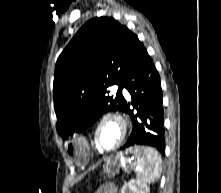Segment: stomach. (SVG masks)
<instances>
[{"label": "stomach", "instance_id": "0dacf381", "mask_svg": "<svg viewBox=\"0 0 221 193\" xmlns=\"http://www.w3.org/2000/svg\"><path fill=\"white\" fill-rule=\"evenodd\" d=\"M65 138H74V133H65ZM75 142H69V147L65 150V155H70V159H76L75 163L78 167H89L88 162L89 155H91V150H86L85 142H80V137L74 138Z\"/></svg>", "mask_w": 221, "mask_h": 193}]
</instances>
